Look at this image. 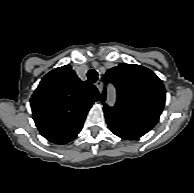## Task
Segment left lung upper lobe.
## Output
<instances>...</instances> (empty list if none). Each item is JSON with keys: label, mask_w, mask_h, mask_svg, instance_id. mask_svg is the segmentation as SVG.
<instances>
[{"label": "left lung upper lobe", "mask_w": 194, "mask_h": 193, "mask_svg": "<svg viewBox=\"0 0 194 193\" xmlns=\"http://www.w3.org/2000/svg\"><path fill=\"white\" fill-rule=\"evenodd\" d=\"M106 82L117 89L116 105L104 104V112L153 128L163 111L165 88L151 70L141 65L122 63L106 72ZM106 99V90L102 102Z\"/></svg>", "instance_id": "1"}]
</instances>
